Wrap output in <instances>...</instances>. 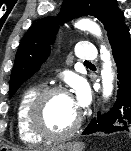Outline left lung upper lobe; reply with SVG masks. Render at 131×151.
<instances>
[{
  "instance_id": "left-lung-upper-lobe-1",
  "label": "left lung upper lobe",
  "mask_w": 131,
  "mask_h": 151,
  "mask_svg": "<svg viewBox=\"0 0 131 151\" xmlns=\"http://www.w3.org/2000/svg\"><path fill=\"white\" fill-rule=\"evenodd\" d=\"M83 15L95 16L103 23L110 44L129 34L124 14L117 7V0H64L61 13L56 19L45 17L31 26L24 35L11 72L9 98L46 61L58 24Z\"/></svg>"
}]
</instances>
